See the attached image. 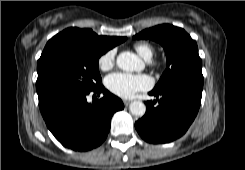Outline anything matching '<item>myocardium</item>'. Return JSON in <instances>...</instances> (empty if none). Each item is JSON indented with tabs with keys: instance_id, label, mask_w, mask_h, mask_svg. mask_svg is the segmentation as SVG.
Wrapping results in <instances>:
<instances>
[{
	"instance_id": "1",
	"label": "myocardium",
	"mask_w": 245,
	"mask_h": 170,
	"mask_svg": "<svg viewBox=\"0 0 245 170\" xmlns=\"http://www.w3.org/2000/svg\"><path fill=\"white\" fill-rule=\"evenodd\" d=\"M152 65H157L158 63L156 62V61H154V60H151V62H150Z\"/></svg>"
}]
</instances>
